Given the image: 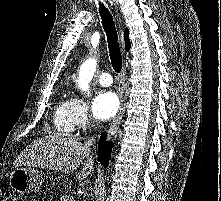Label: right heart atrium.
I'll use <instances>...</instances> for the list:
<instances>
[{
    "label": "right heart atrium",
    "mask_w": 221,
    "mask_h": 201,
    "mask_svg": "<svg viewBox=\"0 0 221 201\" xmlns=\"http://www.w3.org/2000/svg\"><path fill=\"white\" fill-rule=\"evenodd\" d=\"M71 114L74 127H84L89 123L88 107L86 101L79 96L70 99Z\"/></svg>",
    "instance_id": "d8ad5b80"
}]
</instances>
